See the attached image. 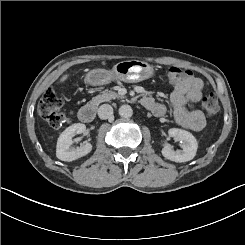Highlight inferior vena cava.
I'll return each mask as SVG.
<instances>
[{
    "mask_svg": "<svg viewBox=\"0 0 245 245\" xmlns=\"http://www.w3.org/2000/svg\"><path fill=\"white\" fill-rule=\"evenodd\" d=\"M113 115V108L109 104H103L98 109V116L100 119H108Z\"/></svg>",
    "mask_w": 245,
    "mask_h": 245,
    "instance_id": "1",
    "label": "inferior vena cava"
}]
</instances>
